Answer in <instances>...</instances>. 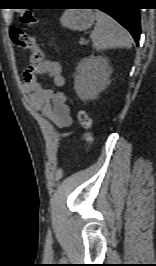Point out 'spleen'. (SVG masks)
<instances>
[{
  "instance_id": "3e777b00",
  "label": "spleen",
  "mask_w": 156,
  "mask_h": 266,
  "mask_svg": "<svg viewBox=\"0 0 156 266\" xmlns=\"http://www.w3.org/2000/svg\"><path fill=\"white\" fill-rule=\"evenodd\" d=\"M94 15L97 23L90 38L96 51L131 47V37L119 23L100 10H96Z\"/></svg>"
}]
</instances>
